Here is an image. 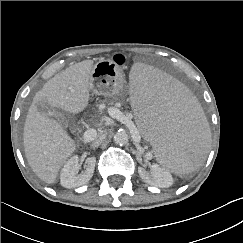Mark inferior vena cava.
<instances>
[{
  "mask_svg": "<svg viewBox=\"0 0 243 243\" xmlns=\"http://www.w3.org/2000/svg\"><path fill=\"white\" fill-rule=\"evenodd\" d=\"M95 131V130H94ZM95 135H96V131H95ZM94 135V136H95ZM105 139V136L104 135H102V136H100L99 138H97V139H95L93 142H92V147H94V148H96V147H98L101 143H102V141Z\"/></svg>",
  "mask_w": 243,
  "mask_h": 243,
  "instance_id": "obj_1",
  "label": "inferior vena cava"
}]
</instances>
